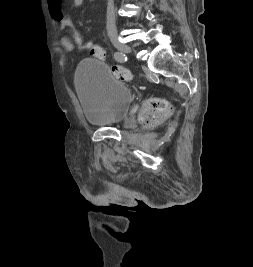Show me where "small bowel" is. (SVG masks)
<instances>
[{"label": "small bowel", "instance_id": "c3829d8e", "mask_svg": "<svg viewBox=\"0 0 253 267\" xmlns=\"http://www.w3.org/2000/svg\"><path fill=\"white\" fill-rule=\"evenodd\" d=\"M48 1V7L50 14L54 21L58 23L65 22V13L62 9V0H47ZM87 0H72V4L75 7H81L85 4ZM69 34L63 33L59 37V43L61 47L67 51H73L74 50V44L72 42V35L77 32L75 28H73L71 25H67Z\"/></svg>", "mask_w": 253, "mask_h": 267}]
</instances>
